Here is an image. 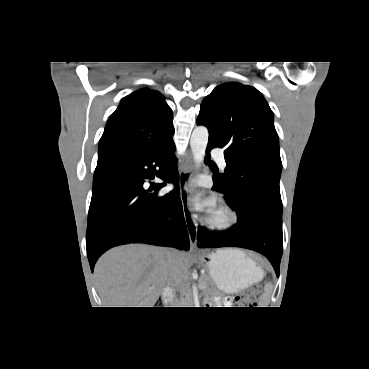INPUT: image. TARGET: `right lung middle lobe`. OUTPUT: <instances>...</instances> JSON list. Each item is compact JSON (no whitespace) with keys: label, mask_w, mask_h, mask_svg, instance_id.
<instances>
[{"label":"right lung middle lobe","mask_w":369,"mask_h":369,"mask_svg":"<svg viewBox=\"0 0 369 369\" xmlns=\"http://www.w3.org/2000/svg\"><path fill=\"white\" fill-rule=\"evenodd\" d=\"M110 164H97V167L95 169V174L105 170Z\"/></svg>","instance_id":"obj_1"}]
</instances>
